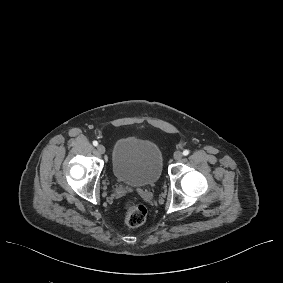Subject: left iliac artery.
I'll list each match as a JSON object with an SVG mask.
<instances>
[{
  "mask_svg": "<svg viewBox=\"0 0 283 283\" xmlns=\"http://www.w3.org/2000/svg\"><path fill=\"white\" fill-rule=\"evenodd\" d=\"M188 154H189V150H184V151H183V155H184V156H187Z\"/></svg>",
  "mask_w": 283,
  "mask_h": 283,
  "instance_id": "obj_1",
  "label": "left iliac artery"
}]
</instances>
